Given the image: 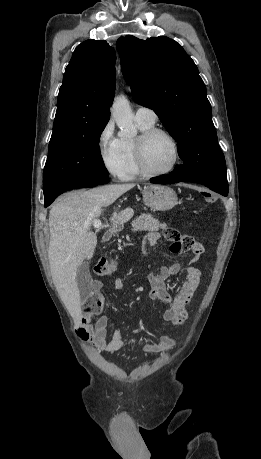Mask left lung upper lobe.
<instances>
[{
    "label": "left lung upper lobe",
    "mask_w": 261,
    "mask_h": 459,
    "mask_svg": "<svg viewBox=\"0 0 261 459\" xmlns=\"http://www.w3.org/2000/svg\"><path fill=\"white\" fill-rule=\"evenodd\" d=\"M121 69L134 100L159 116L178 143L186 176L204 170H226L217 143L206 87L193 60L174 40L134 36L118 39Z\"/></svg>",
    "instance_id": "1"
}]
</instances>
